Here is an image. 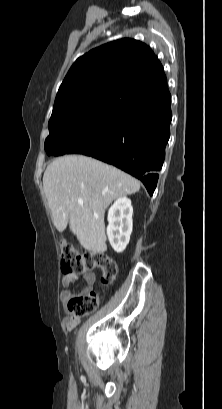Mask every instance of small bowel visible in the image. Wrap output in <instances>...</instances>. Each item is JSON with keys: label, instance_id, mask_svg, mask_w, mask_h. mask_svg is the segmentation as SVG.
Returning <instances> with one entry per match:
<instances>
[{"label": "small bowel", "instance_id": "1", "mask_svg": "<svg viewBox=\"0 0 222 409\" xmlns=\"http://www.w3.org/2000/svg\"><path fill=\"white\" fill-rule=\"evenodd\" d=\"M81 278H83L86 283L82 292L93 289L96 282V274L94 272L84 273L81 276L74 273H65L61 280L63 290L60 293V300L62 303H67L74 296L72 286ZM79 321V317H75L70 314L64 318L63 325L67 331H71L79 323Z\"/></svg>", "mask_w": 222, "mask_h": 409}]
</instances>
